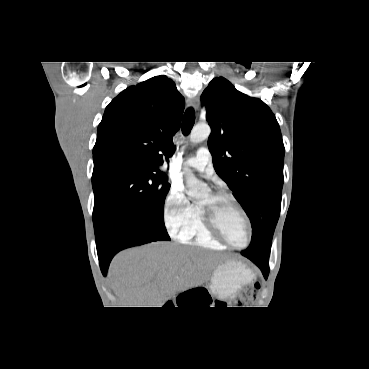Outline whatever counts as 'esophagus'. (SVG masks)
I'll return each mask as SVG.
<instances>
[{
  "label": "esophagus",
  "mask_w": 369,
  "mask_h": 369,
  "mask_svg": "<svg viewBox=\"0 0 369 369\" xmlns=\"http://www.w3.org/2000/svg\"><path fill=\"white\" fill-rule=\"evenodd\" d=\"M187 105L190 107H193L195 110L199 108L200 105V99L198 96L192 97L187 100Z\"/></svg>",
  "instance_id": "esophagus-1"
}]
</instances>
